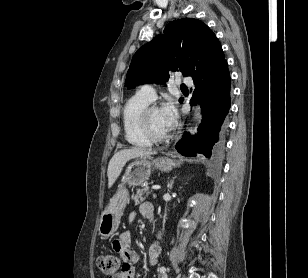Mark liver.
Here are the masks:
<instances>
[{"label":"liver","mask_w":308,"mask_h":278,"mask_svg":"<svg viewBox=\"0 0 308 278\" xmlns=\"http://www.w3.org/2000/svg\"><path fill=\"white\" fill-rule=\"evenodd\" d=\"M153 154H156V152L137 147L131 149H123L115 153L108 164V187L111 188L113 186L127 161L134 158L150 156Z\"/></svg>","instance_id":"liver-1"}]
</instances>
